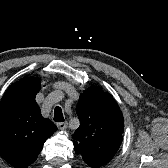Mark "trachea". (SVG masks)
<instances>
[{
	"instance_id": "obj_1",
	"label": "trachea",
	"mask_w": 168,
	"mask_h": 168,
	"mask_svg": "<svg viewBox=\"0 0 168 168\" xmlns=\"http://www.w3.org/2000/svg\"><path fill=\"white\" fill-rule=\"evenodd\" d=\"M54 121H56V122H63L64 121L62 109L60 107H56L54 110Z\"/></svg>"
}]
</instances>
